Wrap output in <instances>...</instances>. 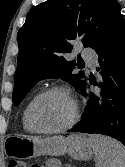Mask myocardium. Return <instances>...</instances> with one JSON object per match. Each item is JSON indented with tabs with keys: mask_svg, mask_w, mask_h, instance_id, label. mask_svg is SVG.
<instances>
[{
	"mask_svg": "<svg viewBox=\"0 0 125 167\" xmlns=\"http://www.w3.org/2000/svg\"><path fill=\"white\" fill-rule=\"evenodd\" d=\"M51 93H61L68 98L72 106V115H71V118L64 125L60 127L52 128V129H41V128L36 127L33 123V120H32L33 109L41 98ZM78 117H79V109H78V105L75 100V97L69 88L62 86V85L49 86L43 91H41L40 93H38L31 100L28 106V110H27V118H28V122L30 124L31 129L34 132L41 133V134H54V133L66 131L75 125V123L78 120Z\"/></svg>",
	"mask_w": 125,
	"mask_h": 167,
	"instance_id": "obj_1",
	"label": "myocardium"
}]
</instances>
